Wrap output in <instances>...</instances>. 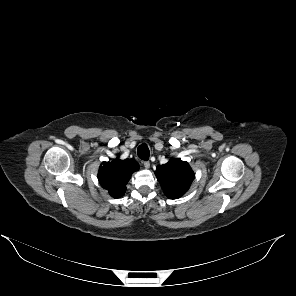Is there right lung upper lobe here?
I'll return each instance as SVG.
<instances>
[{
	"label": "right lung upper lobe",
	"mask_w": 296,
	"mask_h": 296,
	"mask_svg": "<svg viewBox=\"0 0 296 296\" xmlns=\"http://www.w3.org/2000/svg\"><path fill=\"white\" fill-rule=\"evenodd\" d=\"M139 169L138 163L133 159H114L103 162L98 171L101 186L114 197H121L126 190V184L133 172Z\"/></svg>",
	"instance_id": "obj_1"
}]
</instances>
